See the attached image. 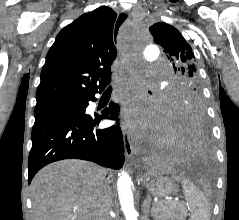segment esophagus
Returning <instances> with one entry per match:
<instances>
[{
	"mask_svg": "<svg viewBox=\"0 0 239 220\" xmlns=\"http://www.w3.org/2000/svg\"><path fill=\"white\" fill-rule=\"evenodd\" d=\"M128 14L130 13L129 11L127 12ZM131 14L133 15L134 13L131 12ZM127 18V16L125 14H120L117 22H116V26L113 27L114 33H113V42L116 43L115 45L117 46L120 42V33H121V28L120 25L125 21V19ZM124 59V54L123 53H119L118 55V61L122 62ZM120 68L121 65L117 64L116 67H113V72L115 74H118L120 72ZM122 128V133H123V141H124V147H125V155L127 157V159L129 161H133L134 160V155L137 152V149L132 145L129 136L127 134V130H126V125L124 123H122L121 125Z\"/></svg>",
	"mask_w": 239,
	"mask_h": 220,
	"instance_id": "1",
	"label": "esophagus"
}]
</instances>
